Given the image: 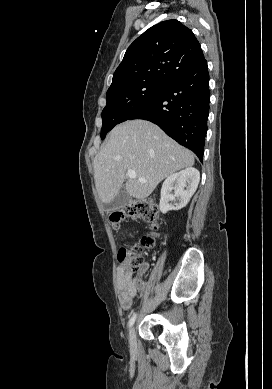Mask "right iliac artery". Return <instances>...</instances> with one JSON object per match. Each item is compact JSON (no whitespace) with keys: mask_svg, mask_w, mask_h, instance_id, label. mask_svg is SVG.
Wrapping results in <instances>:
<instances>
[{"mask_svg":"<svg viewBox=\"0 0 272 389\" xmlns=\"http://www.w3.org/2000/svg\"><path fill=\"white\" fill-rule=\"evenodd\" d=\"M136 316H137V314H134L131 318H130V320H129V327H131L133 324H134V322H135V319H136Z\"/></svg>","mask_w":272,"mask_h":389,"instance_id":"right-iliac-artery-1","label":"right iliac artery"}]
</instances>
